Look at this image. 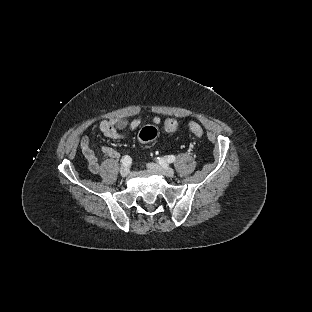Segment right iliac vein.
<instances>
[{
	"label": "right iliac vein",
	"mask_w": 312,
	"mask_h": 312,
	"mask_svg": "<svg viewBox=\"0 0 312 312\" xmlns=\"http://www.w3.org/2000/svg\"><path fill=\"white\" fill-rule=\"evenodd\" d=\"M129 172H130V169L127 166H122L120 169V174L122 177H127Z\"/></svg>",
	"instance_id": "obj_1"
}]
</instances>
